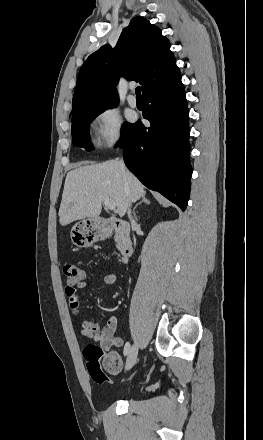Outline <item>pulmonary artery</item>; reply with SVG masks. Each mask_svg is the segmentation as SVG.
Wrapping results in <instances>:
<instances>
[{
	"label": "pulmonary artery",
	"instance_id": "pulmonary-artery-1",
	"mask_svg": "<svg viewBox=\"0 0 263 440\" xmlns=\"http://www.w3.org/2000/svg\"><path fill=\"white\" fill-rule=\"evenodd\" d=\"M127 101L131 107L135 108L137 106V100L134 95L132 94L128 95Z\"/></svg>",
	"mask_w": 263,
	"mask_h": 440
}]
</instances>
